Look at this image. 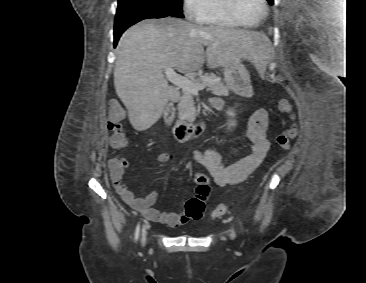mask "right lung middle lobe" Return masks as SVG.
Returning <instances> with one entry per match:
<instances>
[{
    "label": "right lung middle lobe",
    "instance_id": "1",
    "mask_svg": "<svg viewBox=\"0 0 366 283\" xmlns=\"http://www.w3.org/2000/svg\"><path fill=\"white\" fill-rule=\"evenodd\" d=\"M158 11L183 18L182 0H119L116 15L139 11Z\"/></svg>",
    "mask_w": 366,
    "mask_h": 283
}]
</instances>
